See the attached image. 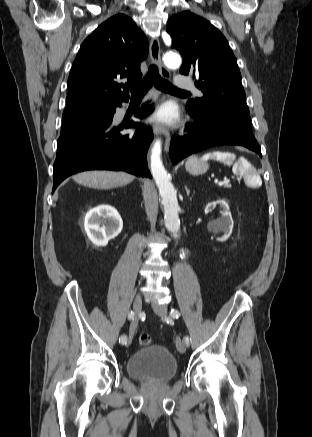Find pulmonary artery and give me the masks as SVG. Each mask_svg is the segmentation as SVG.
<instances>
[{"mask_svg": "<svg viewBox=\"0 0 312 437\" xmlns=\"http://www.w3.org/2000/svg\"><path fill=\"white\" fill-rule=\"evenodd\" d=\"M175 87L178 89H192L193 83L189 77L184 74H178L174 79Z\"/></svg>", "mask_w": 312, "mask_h": 437, "instance_id": "obj_1", "label": "pulmonary artery"}]
</instances>
